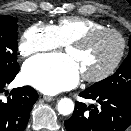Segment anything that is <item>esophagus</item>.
<instances>
[{
	"label": "esophagus",
	"mask_w": 131,
	"mask_h": 131,
	"mask_svg": "<svg viewBox=\"0 0 131 131\" xmlns=\"http://www.w3.org/2000/svg\"><path fill=\"white\" fill-rule=\"evenodd\" d=\"M43 99H44L45 101H47V102H50V101H53V100H54V98L51 97V96H43Z\"/></svg>",
	"instance_id": "obj_1"
}]
</instances>
